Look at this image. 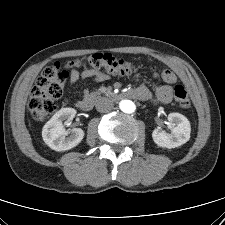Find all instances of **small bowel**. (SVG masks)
Listing matches in <instances>:
<instances>
[{"instance_id":"c3829d8e","label":"small bowel","mask_w":225,"mask_h":225,"mask_svg":"<svg viewBox=\"0 0 225 225\" xmlns=\"http://www.w3.org/2000/svg\"><path fill=\"white\" fill-rule=\"evenodd\" d=\"M108 76L98 70L85 69L82 71L71 70L69 77V84L73 85L79 80H94L102 82L107 80ZM133 97L141 100L154 99L158 103H169L172 99V87L169 85H159L155 88L154 92H151L145 85H139L133 91ZM68 102L67 99H65Z\"/></svg>"}]
</instances>
